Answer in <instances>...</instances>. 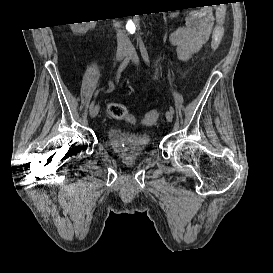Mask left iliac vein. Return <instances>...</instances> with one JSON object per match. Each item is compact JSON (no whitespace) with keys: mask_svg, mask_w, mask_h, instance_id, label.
Wrapping results in <instances>:
<instances>
[{"mask_svg":"<svg viewBox=\"0 0 273 273\" xmlns=\"http://www.w3.org/2000/svg\"><path fill=\"white\" fill-rule=\"evenodd\" d=\"M129 54L132 55V61H133V63L138 64L139 59H138V55H137L134 47L130 48ZM166 119H167V121L172 122V120H173V114L170 111L166 112Z\"/></svg>","mask_w":273,"mask_h":273,"instance_id":"obj_1","label":"left iliac vein"}]
</instances>
